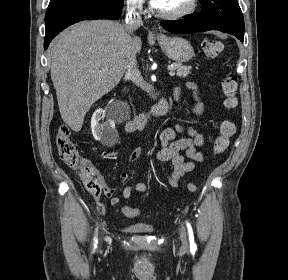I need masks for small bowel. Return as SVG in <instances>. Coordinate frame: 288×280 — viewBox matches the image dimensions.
I'll list each match as a JSON object with an SVG mask.
<instances>
[{
    "label": "small bowel",
    "instance_id": "obj_1",
    "mask_svg": "<svg viewBox=\"0 0 288 280\" xmlns=\"http://www.w3.org/2000/svg\"><path fill=\"white\" fill-rule=\"evenodd\" d=\"M188 87L195 90L194 84H188ZM176 96H179V91H176ZM203 110V105L198 102L194 108L195 114H200ZM183 133L186 136L176 139L177 134ZM160 148L157 152V159L164 164H168L171 168L170 174L167 177L168 185L172 188L178 186L179 181L189 172L194 171L197 165L204 159L203 154L199 148L203 144V136L195 131L193 128L176 125L164 129L159 136ZM143 150L140 147L134 148L129 156L128 162H133L141 158ZM186 158L188 160H186ZM128 174L123 172L119 175L117 184L109 187L104 183L102 176L99 179L103 185V192L106 197L110 199L112 206L120 204V198L115 195L116 189L125 185L128 181ZM148 186L143 182H138L134 185L124 187L122 197L124 199L130 198L133 193H146ZM98 197V195H94Z\"/></svg>",
    "mask_w": 288,
    "mask_h": 280
}]
</instances>
